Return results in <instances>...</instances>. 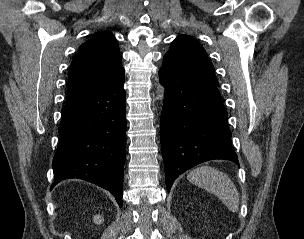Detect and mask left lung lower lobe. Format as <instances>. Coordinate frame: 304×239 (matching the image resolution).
Masks as SVG:
<instances>
[{
	"label": "left lung lower lobe",
	"mask_w": 304,
	"mask_h": 239,
	"mask_svg": "<svg viewBox=\"0 0 304 239\" xmlns=\"http://www.w3.org/2000/svg\"><path fill=\"white\" fill-rule=\"evenodd\" d=\"M159 78L166 88L161 147L167 191L180 174L199 163L223 159L238 164L217 86L192 76L166 57Z\"/></svg>",
	"instance_id": "1"
}]
</instances>
